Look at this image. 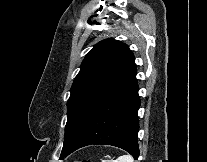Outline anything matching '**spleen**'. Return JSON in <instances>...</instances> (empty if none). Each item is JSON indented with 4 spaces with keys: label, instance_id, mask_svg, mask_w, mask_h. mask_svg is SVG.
I'll list each match as a JSON object with an SVG mask.
<instances>
[{
    "label": "spleen",
    "instance_id": "1",
    "mask_svg": "<svg viewBox=\"0 0 207 162\" xmlns=\"http://www.w3.org/2000/svg\"><path fill=\"white\" fill-rule=\"evenodd\" d=\"M102 162H134V159L131 155H122L116 160H103Z\"/></svg>",
    "mask_w": 207,
    "mask_h": 162
}]
</instances>
